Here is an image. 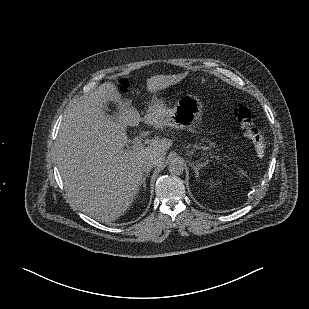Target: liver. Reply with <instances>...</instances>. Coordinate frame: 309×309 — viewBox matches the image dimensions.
<instances>
[{
	"label": "liver",
	"instance_id": "obj_1",
	"mask_svg": "<svg viewBox=\"0 0 309 309\" xmlns=\"http://www.w3.org/2000/svg\"><path fill=\"white\" fill-rule=\"evenodd\" d=\"M153 82L150 80L149 86ZM110 101L119 102L116 120L105 113ZM164 118L165 110L158 100L141 117L129 102H121L111 82L100 85L65 112L57 137V165L68 196L83 213L111 222L129 208L142 184L143 166L162 164L172 141L152 139L143 149L124 150L126 128L143 121L163 129Z\"/></svg>",
	"mask_w": 309,
	"mask_h": 309
}]
</instances>
